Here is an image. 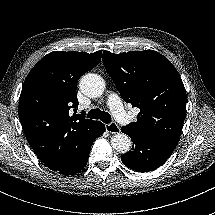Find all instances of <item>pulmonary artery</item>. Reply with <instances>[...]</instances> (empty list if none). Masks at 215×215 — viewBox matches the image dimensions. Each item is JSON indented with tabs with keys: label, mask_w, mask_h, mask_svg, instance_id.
Listing matches in <instances>:
<instances>
[{
	"label": "pulmonary artery",
	"mask_w": 215,
	"mask_h": 215,
	"mask_svg": "<svg viewBox=\"0 0 215 215\" xmlns=\"http://www.w3.org/2000/svg\"><path fill=\"white\" fill-rule=\"evenodd\" d=\"M106 107L111 110L112 117L120 125L132 126L135 123V116L124 110L122 102L116 95H111L106 100Z\"/></svg>",
	"instance_id": "obj_1"
}]
</instances>
